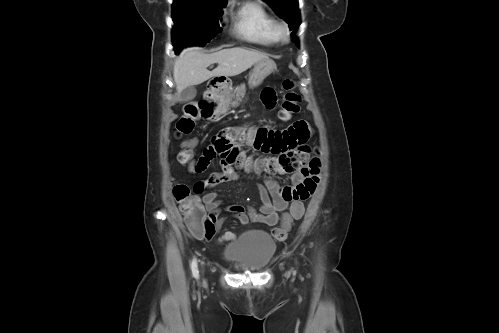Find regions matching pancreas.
<instances>
[{
    "label": "pancreas",
    "mask_w": 499,
    "mask_h": 333,
    "mask_svg": "<svg viewBox=\"0 0 499 333\" xmlns=\"http://www.w3.org/2000/svg\"><path fill=\"white\" fill-rule=\"evenodd\" d=\"M246 92L245 84L239 85L235 90H229L221 96V110L227 112L231 107L236 108Z\"/></svg>",
    "instance_id": "1"
}]
</instances>
